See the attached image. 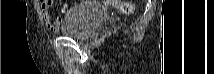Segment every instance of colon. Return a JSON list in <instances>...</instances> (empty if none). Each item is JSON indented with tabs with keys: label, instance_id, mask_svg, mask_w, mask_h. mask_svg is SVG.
I'll return each mask as SVG.
<instances>
[{
	"label": "colon",
	"instance_id": "obj_1",
	"mask_svg": "<svg viewBox=\"0 0 214 74\" xmlns=\"http://www.w3.org/2000/svg\"><path fill=\"white\" fill-rule=\"evenodd\" d=\"M110 7H117L119 10L125 13L132 12L134 5L130 2H121V1H108Z\"/></svg>",
	"mask_w": 214,
	"mask_h": 74
}]
</instances>
